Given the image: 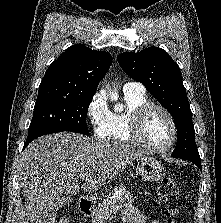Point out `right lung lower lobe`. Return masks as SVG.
<instances>
[{
    "label": "right lung lower lobe",
    "instance_id": "98d812e1",
    "mask_svg": "<svg viewBox=\"0 0 221 223\" xmlns=\"http://www.w3.org/2000/svg\"><path fill=\"white\" fill-rule=\"evenodd\" d=\"M32 140H27L25 143H24V147L23 149L31 142Z\"/></svg>",
    "mask_w": 221,
    "mask_h": 223
}]
</instances>
